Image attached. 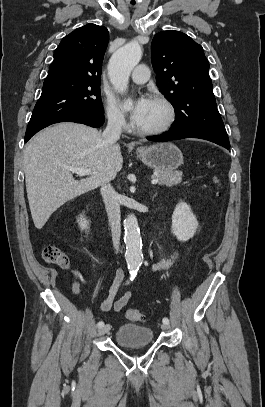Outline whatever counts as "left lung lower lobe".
<instances>
[{
  "instance_id": "left-lung-lower-lobe-1",
  "label": "left lung lower lobe",
  "mask_w": 265,
  "mask_h": 407,
  "mask_svg": "<svg viewBox=\"0 0 265 407\" xmlns=\"http://www.w3.org/2000/svg\"><path fill=\"white\" fill-rule=\"evenodd\" d=\"M183 138H200V139H205L211 142H214L218 145H221L227 149L230 148V143L229 142H225V141H221L218 139H215L213 137L198 133V132H193V131H178V132H168L166 134L163 135H159V136H151L148 137V140H152V141H159V142H164V141H170V140H176V139H183Z\"/></svg>"
}]
</instances>
